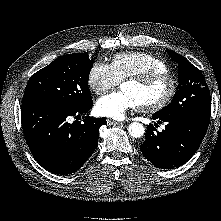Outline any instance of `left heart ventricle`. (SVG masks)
Here are the masks:
<instances>
[{"label":"left heart ventricle","mask_w":221,"mask_h":221,"mask_svg":"<svg viewBox=\"0 0 221 221\" xmlns=\"http://www.w3.org/2000/svg\"><path fill=\"white\" fill-rule=\"evenodd\" d=\"M121 88L136 100L138 106L151 105L165 96L168 91V83L161 80L148 86H139L132 82H126Z\"/></svg>","instance_id":"1"}]
</instances>
